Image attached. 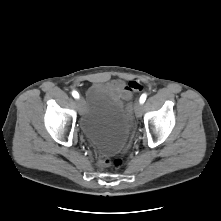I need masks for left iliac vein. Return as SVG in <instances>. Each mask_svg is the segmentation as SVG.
<instances>
[{
    "label": "left iliac vein",
    "instance_id": "1",
    "mask_svg": "<svg viewBox=\"0 0 221 221\" xmlns=\"http://www.w3.org/2000/svg\"><path fill=\"white\" fill-rule=\"evenodd\" d=\"M134 111L137 117H141L143 113V105L141 102L136 101L134 104Z\"/></svg>",
    "mask_w": 221,
    "mask_h": 221
}]
</instances>
